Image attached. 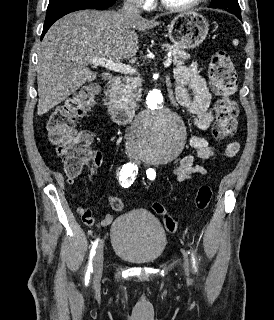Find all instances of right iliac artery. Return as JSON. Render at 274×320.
<instances>
[{
    "label": "right iliac artery",
    "mask_w": 274,
    "mask_h": 320,
    "mask_svg": "<svg viewBox=\"0 0 274 320\" xmlns=\"http://www.w3.org/2000/svg\"><path fill=\"white\" fill-rule=\"evenodd\" d=\"M137 172H138V167L134 163L125 164L119 173V180L122 183V186L125 188L129 187L133 183ZM98 243H99V238H97L93 242V245H92V248L90 251L88 269H87L86 276H85L86 281H89V279H90V273L92 272V268H93L92 267L93 257L96 253V248L98 246Z\"/></svg>",
    "instance_id": "1"
}]
</instances>
